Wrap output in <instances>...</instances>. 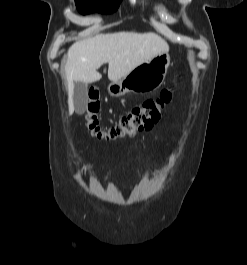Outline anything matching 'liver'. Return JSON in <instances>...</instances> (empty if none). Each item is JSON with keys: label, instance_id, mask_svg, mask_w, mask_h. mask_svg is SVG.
Wrapping results in <instances>:
<instances>
[{"label": "liver", "instance_id": "6515ba94", "mask_svg": "<svg viewBox=\"0 0 247 265\" xmlns=\"http://www.w3.org/2000/svg\"><path fill=\"white\" fill-rule=\"evenodd\" d=\"M167 51V42L153 32L98 34L75 42L68 50L65 65L69 113L73 111L75 83L99 81L102 75L97 70L103 64L108 63V79L117 82L137 66Z\"/></svg>", "mask_w": 247, "mask_h": 265}]
</instances>
